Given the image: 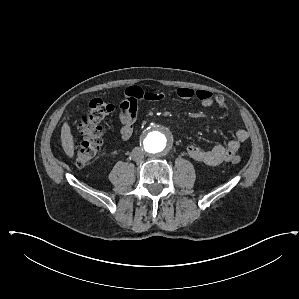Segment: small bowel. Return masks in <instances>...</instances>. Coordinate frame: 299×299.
Instances as JSON below:
<instances>
[{"instance_id":"small-bowel-1","label":"small bowel","mask_w":299,"mask_h":299,"mask_svg":"<svg viewBox=\"0 0 299 299\" xmlns=\"http://www.w3.org/2000/svg\"><path fill=\"white\" fill-rule=\"evenodd\" d=\"M177 96L184 100L197 99L204 108L216 106L224 108L226 100L222 95H215L207 90H194L188 87H179ZM165 98V94L158 88H141L137 86L129 87L125 91V98L119 106L120 137L122 140H129L134 133V123L137 118L138 100L160 101ZM249 134L246 130L235 131L233 137L226 144H219L211 149H203L198 146L188 145L187 155L193 160L207 166H218L230 161L238 152L240 146L246 142Z\"/></svg>"}]
</instances>
